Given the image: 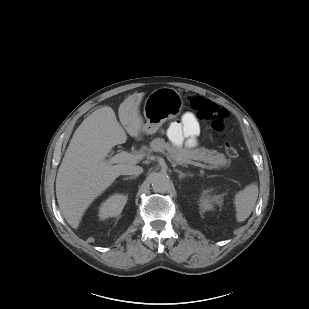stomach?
I'll use <instances>...</instances> for the list:
<instances>
[{"label":"stomach","mask_w":309,"mask_h":309,"mask_svg":"<svg viewBox=\"0 0 309 309\" xmlns=\"http://www.w3.org/2000/svg\"><path fill=\"white\" fill-rule=\"evenodd\" d=\"M182 108L183 99L177 90L162 87L152 91L144 104L146 123L143 132L154 134L164 122L177 117Z\"/></svg>","instance_id":"1"}]
</instances>
